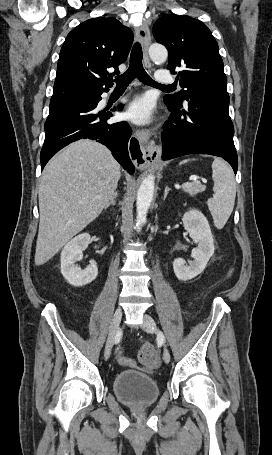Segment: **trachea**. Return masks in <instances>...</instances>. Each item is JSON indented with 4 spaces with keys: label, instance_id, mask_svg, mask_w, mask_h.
Returning a JSON list of instances; mask_svg holds the SVG:
<instances>
[{
    "label": "trachea",
    "instance_id": "1",
    "mask_svg": "<svg viewBox=\"0 0 272 455\" xmlns=\"http://www.w3.org/2000/svg\"><path fill=\"white\" fill-rule=\"evenodd\" d=\"M142 58L141 44L136 42L131 51L129 68L125 73L115 77L114 81L116 87H127L135 78H137L139 81L149 86L171 88L172 85H161L151 79L143 68Z\"/></svg>",
    "mask_w": 272,
    "mask_h": 455
}]
</instances>
